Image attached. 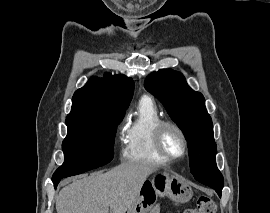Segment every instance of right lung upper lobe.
Returning <instances> with one entry per match:
<instances>
[{"mask_svg":"<svg viewBox=\"0 0 270 213\" xmlns=\"http://www.w3.org/2000/svg\"><path fill=\"white\" fill-rule=\"evenodd\" d=\"M134 83L124 75L105 73L92 77L72 98L70 119L107 118L124 113L131 101Z\"/></svg>","mask_w":270,"mask_h":213,"instance_id":"obj_1","label":"right lung upper lobe"}]
</instances>
